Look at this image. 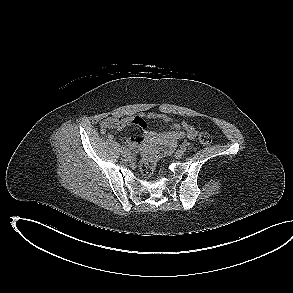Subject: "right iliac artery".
<instances>
[{
	"label": "right iliac artery",
	"mask_w": 293,
	"mask_h": 293,
	"mask_svg": "<svg viewBox=\"0 0 293 293\" xmlns=\"http://www.w3.org/2000/svg\"><path fill=\"white\" fill-rule=\"evenodd\" d=\"M117 146L120 150L125 148V147H123V145H120V144H118Z\"/></svg>",
	"instance_id": "1"
}]
</instances>
